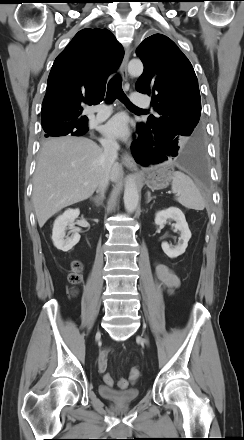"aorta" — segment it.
<instances>
[{
  "label": "aorta",
  "instance_id": "aorta-1",
  "mask_svg": "<svg viewBox=\"0 0 244 440\" xmlns=\"http://www.w3.org/2000/svg\"><path fill=\"white\" fill-rule=\"evenodd\" d=\"M128 72L131 76L139 77L143 73V64L138 59H133L128 64ZM139 201V192L132 175L126 179L124 190V206L127 212L132 213L137 208Z\"/></svg>",
  "mask_w": 244,
  "mask_h": 440
}]
</instances>
